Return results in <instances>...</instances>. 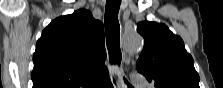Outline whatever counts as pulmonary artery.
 Returning <instances> with one entry per match:
<instances>
[{
  "label": "pulmonary artery",
  "mask_w": 223,
  "mask_h": 88,
  "mask_svg": "<svg viewBox=\"0 0 223 88\" xmlns=\"http://www.w3.org/2000/svg\"><path fill=\"white\" fill-rule=\"evenodd\" d=\"M131 81L137 87H142L144 85V77L140 73H133L131 75Z\"/></svg>",
  "instance_id": "obj_1"
}]
</instances>
